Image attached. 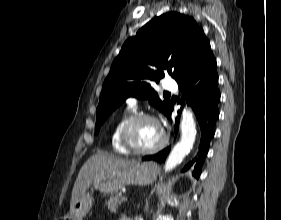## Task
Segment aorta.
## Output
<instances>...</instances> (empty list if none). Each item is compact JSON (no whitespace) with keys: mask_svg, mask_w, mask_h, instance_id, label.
Listing matches in <instances>:
<instances>
[{"mask_svg":"<svg viewBox=\"0 0 281 220\" xmlns=\"http://www.w3.org/2000/svg\"><path fill=\"white\" fill-rule=\"evenodd\" d=\"M181 140L172 149L164 166L165 172L174 169L190 152L196 138V124L190 109L183 111L181 120Z\"/></svg>","mask_w":281,"mask_h":220,"instance_id":"762f6f07","label":"aorta"}]
</instances>
